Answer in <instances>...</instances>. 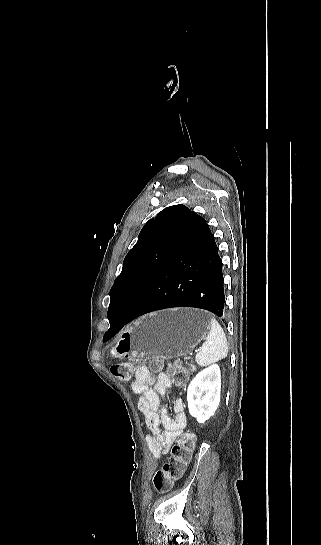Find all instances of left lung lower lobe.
Listing matches in <instances>:
<instances>
[{
	"mask_svg": "<svg viewBox=\"0 0 321 545\" xmlns=\"http://www.w3.org/2000/svg\"><path fill=\"white\" fill-rule=\"evenodd\" d=\"M222 261L205 219L192 213L160 272L130 313L109 317L110 334L135 318L160 309L195 307L223 316Z\"/></svg>",
	"mask_w": 321,
	"mask_h": 545,
	"instance_id": "0a47b994",
	"label": "left lung lower lobe"
}]
</instances>
